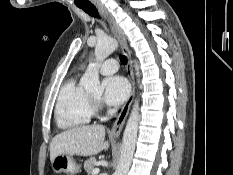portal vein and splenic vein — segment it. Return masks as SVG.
<instances>
[{
	"label": "portal vein and splenic vein",
	"instance_id": "1",
	"mask_svg": "<svg viewBox=\"0 0 233 175\" xmlns=\"http://www.w3.org/2000/svg\"><path fill=\"white\" fill-rule=\"evenodd\" d=\"M99 172H100V170H99L98 168H95V169L93 170V175H97Z\"/></svg>",
	"mask_w": 233,
	"mask_h": 175
}]
</instances>
